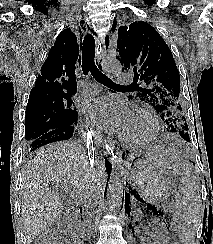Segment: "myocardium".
Instances as JSON below:
<instances>
[{"label": "myocardium", "instance_id": "myocardium-1", "mask_svg": "<svg viewBox=\"0 0 213 244\" xmlns=\"http://www.w3.org/2000/svg\"><path fill=\"white\" fill-rule=\"evenodd\" d=\"M133 115L142 116L149 122V133L141 138H129L125 136L123 133H120V140L128 145L133 146L146 145L153 142L158 137L160 131L159 121L155 114L147 108H138L134 111Z\"/></svg>", "mask_w": 213, "mask_h": 244}]
</instances>
